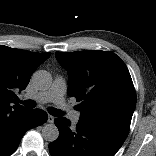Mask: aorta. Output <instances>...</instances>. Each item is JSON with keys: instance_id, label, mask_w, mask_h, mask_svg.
I'll list each match as a JSON object with an SVG mask.
<instances>
[{"instance_id": "obj_1", "label": "aorta", "mask_w": 156, "mask_h": 156, "mask_svg": "<svg viewBox=\"0 0 156 156\" xmlns=\"http://www.w3.org/2000/svg\"><path fill=\"white\" fill-rule=\"evenodd\" d=\"M32 81L39 89H48L51 86V74L45 70H38L32 75ZM44 140L54 142L59 136V130L53 123L46 124L42 129Z\"/></svg>"}]
</instances>
